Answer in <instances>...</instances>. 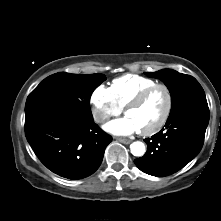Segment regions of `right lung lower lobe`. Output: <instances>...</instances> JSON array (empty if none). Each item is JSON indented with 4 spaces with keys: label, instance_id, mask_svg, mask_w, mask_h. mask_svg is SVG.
<instances>
[{
    "label": "right lung lower lobe",
    "instance_id": "98d812e1",
    "mask_svg": "<svg viewBox=\"0 0 221 221\" xmlns=\"http://www.w3.org/2000/svg\"><path fill=\"white\" fill-rule=\"evenodd\" d=\"M25 135L48 169L73 180L93 174L112 141L93 119H80L55 105L25 113Z\"/></svg>",
    "mask_w": 221,
    "mask_h": 221
}]
</instances>
